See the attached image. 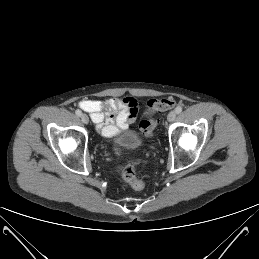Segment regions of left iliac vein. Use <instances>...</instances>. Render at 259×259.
<instances>
[{
  "mask_svg": "<svg viewBox=\"0 0 259 259\" xmlns=\"http://www.w3.org/2000/svg\"><path fill=\"white\" fill-rule=\"evenodd\" d=\"M175 119H176V112L175 111L169 112V114L167 115L168 122H173Z\"/></svg>",
  "mask_w": 259,
  "mask_h": 259,
  "instance_id": "1",
  "label": "left iliac vein"
}]
</instances>
